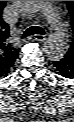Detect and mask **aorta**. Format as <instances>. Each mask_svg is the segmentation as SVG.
Listing matches in <instances>:
<instances>
[{"mask_svg": "<svg viewBox=\"0 0 74 122\" xmlns=\"http://www.w3.org/2000/svg\"><path fill=\"white\" fill-rule=\"evenodd\" d=\"M44 1H14V5L25 15L40 12L44 7ZM68 40L63 32H57L49 36L44 45V52L50 60H60L67 53Z\"/></svg>", "mask_w": 74, "mask_h": 122, "instance_id": "aorta-1", "label": "aorta"}]
</instances>
